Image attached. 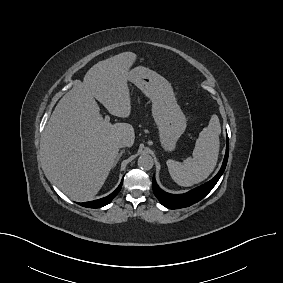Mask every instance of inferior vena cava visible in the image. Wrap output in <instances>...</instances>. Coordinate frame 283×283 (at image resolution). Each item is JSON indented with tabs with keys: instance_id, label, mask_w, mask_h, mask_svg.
<instances>
[{
	"instance_id": "obj_1",
	"label": "inferior vena cava",
	"mask_w": 283,
	"mask_h": 283,
	"mask_svg": "<svg viewBox=\"0 0 283 283\" xmlns=\"http://www.w3.org/2000/svg\"><path fill=\"white\" fill-rule=\"evenodd\" d=\"M128 146V142L126 140H121L118 142V147L119 148H123V147H126Z\"/></svg>"
}]
</instances>
